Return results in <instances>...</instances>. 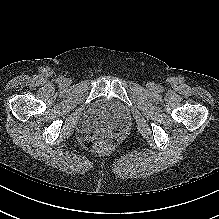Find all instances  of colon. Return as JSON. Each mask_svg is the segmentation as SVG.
<instances>
[{
  "mask_svg": "<svg viewBox=\"0 0 219 219\" xmlns=\"http://www.w3.org/2000/svg\"><path fill=\"white\" fill-rule=\"evenodd\" d=\"M93 148L97 152H102L109 148V143L107 140L101 139L94 143Z\"/></svg>",
  "mask_w": 219,
  "mask_h": 219,
  "instance_id": "5ec220e1",
  "label": "colon"
}]
</instances>
